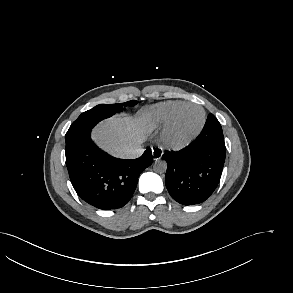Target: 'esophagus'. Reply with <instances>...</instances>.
<instances>
[{"instance_id":"obj_1","label":"esophagus","mask_w":293,"mask_h":293,"mask_svg":"<svg viewBox=\"0 0 293 293\" xmlns=\"http://www.w3.org/2000/svg\"><path fill=\"white\" fill-rule=\"evenodd\" d=\"M163 154V150L159 147H155L152 149L153 160L161 159Z\"/></svg>"}]
</instances>
